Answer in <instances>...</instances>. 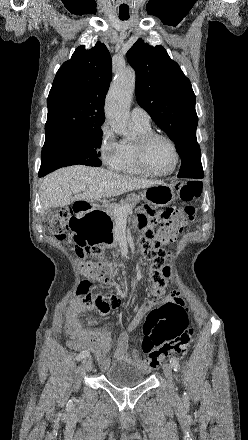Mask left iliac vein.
Instances as JSON below:
<instances>
[{
    "label": "left iliac vein",
    "mask_w": 248,
    "mask_h": 440,
    "mask_svg": "<svg viewBox=\"0 0 248 440\" xmlns=\"http://www.w3.org/2000/svg\"><path fill=\"white\" fill-rule=\"evenodd\" d=\"M163 373L164 376L168 382L169 388L171 390H173L174 385H173V371H172V365L169 363L164 364L163 366Z\"/></svg>",
    "instance_id": "4c4485c4"
}]
</instances>
